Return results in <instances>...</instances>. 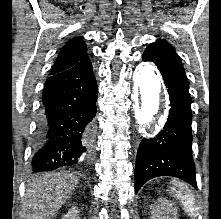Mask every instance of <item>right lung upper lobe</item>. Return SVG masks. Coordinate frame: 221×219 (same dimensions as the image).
<instances>
[{"instance_id": "cb5924a9", "label": "right lung upper lobe", "mask_w": 221, "mask_h": 219, "mask_svg": "<svg viewBox=\"0 0 221 219\" xmlns=\"http://www.w3.org/2000/svg\"><path fill=\"white\" fill-rule=\"evenodd\" d=\"M86 44L80 37H75L68 41L66 45L61 49L56 62L51 71V75L65 71L82 59L88 57Z\"/></svg>"}]
</instances>
